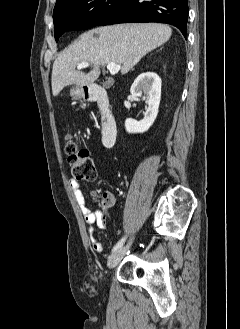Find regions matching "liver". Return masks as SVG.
Listing matches in <instances>:
<instances>
[{"instance_id": "liver-1", "label": "liver", "mask_w": 240, "mask_h": 329, "mask_svg": "<svg viewBox=\"0 0 240 329\" xmlns=\"http://www.w3.org/2000/svg\"><path fill=\"white\" fill-rule=\"evenodd\" d=\"M171 35L169 26L157 23L118 24L83 33L54 61L52 93L57 96L67 85L93 84L100 75V66L110 62L120 65L121 73L126 74ZM83 62L93 66L89 73L76 70Z\"/></svg>"}]
</instances>
